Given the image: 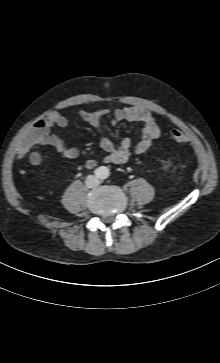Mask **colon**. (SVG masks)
<instances>
[{
    "label": "colon",
    "mask_w": 220,
    "mask_h": 363,
    "mask_svg": "<svg viewBox=\"0 0 220 363\" xmlns=\"http://www.w3.org/2000/svg\"><path fill=\"white\" fill-rule=\"evenodd\" d=\"M169 134H170L171 139L176 143H185L188 140L185 133H183L182 131L177 130V129L170 130Z\"/></svg>",
    "instance_id": "1"
}]
</instances>
